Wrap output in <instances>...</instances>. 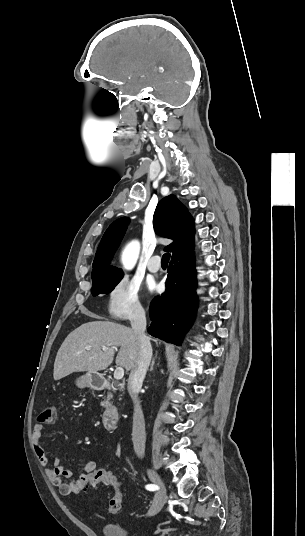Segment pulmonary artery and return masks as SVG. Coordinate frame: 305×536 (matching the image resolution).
<instances>
[{
  "instance_id": "e3ab8cb5",
  "label": "pulmonary artery",
  "mask_w": 305,
  "mask_h": 536,
  "mask_svg": "<svg viewBox=\"0 0 305 536\" xmlns=\"http://www.w3.org/2000/svg\"><path fill=\"white\" fill-rule=\"evenodd\" d=\"M150 260L149 263H148V269L149 271L155 273V272H158L161 268V265L159 264L160 260H161V257L159 254L157 253H154L151 255L150 257Z\"/></svg>"
}]
</instances>
